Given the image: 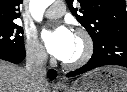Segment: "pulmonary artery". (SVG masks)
Masks as SVG:
<instances>
[{
	"label": "pulmonary artery",
	"instance_id": "1",
	"mask_svg": "<svg viewBox=\"0 0 127 92\" xmlns=\"http://www.w3.org/2000/svg\"><path fill=\"white\" fill-rule=\"evenodd\" d=\"M65 12L62 1H53L52 5L46 10L45 16L51 19L61 17Z\"/></svg>",
	"mask_w": 127,
	"mask_h": 92
}]
</instances>
